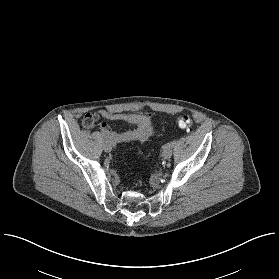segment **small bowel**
I'll list each match as a JSON object with an SVG mask.
<instances>
[{
  "label": "small bowel",
  "mask_w": 279,
  "mask_h": 279,
  "mask_svg": "<svg viewBox=\"0 0 279 279\" xmlns=\"http://www.w3.org/2000/svg\"><path fill=\"white\" fill-rule=\"evenodd\" d=\"M98 118L108 121H124L136 125V128L133 130L120 132L112 130L107 123H101L99 129L108 136L114 145L120 143L143 142L150 138L155 132L152 117L147 114H126L101 109L94 113L86 114L83 123L84 125L88 124L91 128Z\"/></svg>",
  "instance_id": "c3829d8e"
}]
</instances>
